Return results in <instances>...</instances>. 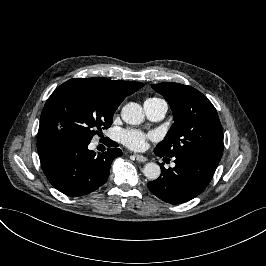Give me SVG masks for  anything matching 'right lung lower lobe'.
<instances>
[{
  "label": "right lung lower lobe",
  "mask_w": 266,
  "mask_h": 266,
  "mask_svg": "<svg viewBox=\"0 0 266 266\" xmlns=\"http://www.w3.org/2000/svg\"><path fill=\"white\" fill-rule=\"evenodd\" d=\"M106 152L96 155L89 141L59 139L41 153L40 162L49 182L62 193L80 196L95 191L108 179L112 161L122 155L117 144L105 140Z\"/></svg>",
  "instance_id": "98d812e1"
}]
</instances>
